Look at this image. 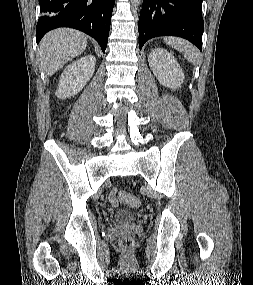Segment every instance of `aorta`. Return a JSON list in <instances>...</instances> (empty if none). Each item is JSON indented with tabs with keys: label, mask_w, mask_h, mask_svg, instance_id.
Segmentation results:
<instances>
[{
	"label": "aorta",
	"mask_w": 253,
	"mask_h": 285,
	"mask_svg": "<svg viewBox=\"0 0 253 285\" xmlns=\"http://www.w3.org/2000/svg\"><path fill=\"white\" fill-rule=\"evenodd\" d=\"M143 0H131V3L134 7H137L141 4Z\"/></svg>",
	"instance_id": "obj_1"
}]
</instances>
